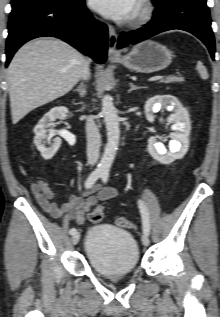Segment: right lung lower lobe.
<instances>
[{"instance_id": "1", "label": "right lung lower lobe", "mask_w": 220, "mask_h": 317, "mask_svg": "<svg viewBox=\"0 0 220 317\" xmlns=\"http://www.w3.org/2000/svg\"><path fill=\"white\" fill-rule=\"evenodd\" d=\"M8 31L6 66L20 46L42 36L58 37L97 63L106 61L107 26L94 19L84 0L72 4L38 3L12 9Z\"/></svg>"}]
</instances>
